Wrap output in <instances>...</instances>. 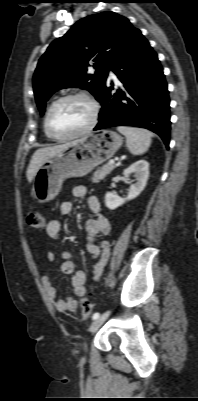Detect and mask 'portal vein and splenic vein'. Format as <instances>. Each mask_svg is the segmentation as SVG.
I'll list each match as a JSON object with an SVG mask.
<instances>
[{
  "mask_svg": "<svg viewBox=\"0 0 198 401\" xmlns=\"http://www.w3.org/2000/svg\"><path fill=\"white\" fill-rule=\"evenodd\" d=\"M109 163H110V164H114L115 161H114V160H110Z\"/></svg>",
  "mask_w": 198,
  "mask_h": 401,
  "instance_id": "1",
  "label": "portal vein and splenic vein"
}]
</instances>
